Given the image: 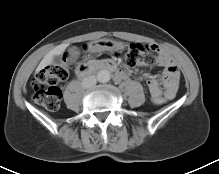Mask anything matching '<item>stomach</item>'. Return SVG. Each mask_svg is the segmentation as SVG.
<instances>
[{
  "label": "stomach",
  "mask_w": 219,
  "mask_h": 174,
  "mask_svg": "<svg viewBox=\"0 0 219 174\" xmlns=\"http://www.w3.org/2000/svg\"><path fill=\"white\" fill-rule=\"evenodd\" d=\"M123 43L113 41L110 39H101L94 41L90 44V49L92 51H102V50H112L114 48H122Z\"/></svg>",
  "instance_id": "0dacf381"
}]
</instances>
